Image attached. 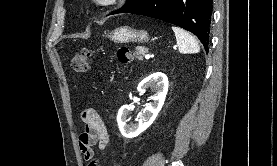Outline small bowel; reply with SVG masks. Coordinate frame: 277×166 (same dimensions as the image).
<instances>
[{
    "mask_svg": "<svg viewBox=\"0 0 277 166\" xmlns=\"http://www.w3.org/2000/svg\"><path fill=\"white\" fill-rule=\"evenodd\" d=\"M82 120L85 129L79 137V149L88 166H97L93 146L98 145L101 150H104L109 143V134L103 120L93 109L85 110Z\"/></svg>",
    "mask_w": 277,
    "mask_h": 166,
    "instance_id": "1",
    "label": "small bowel"
}]
</instances>
